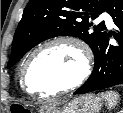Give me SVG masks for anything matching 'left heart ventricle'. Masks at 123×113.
Returning <instances> with one entry per match:
<instances>
[{
    "label": "left heart ventricle",
    "mask_w": 123,
    "mask_h": 113,
    "mask_svg": "<svg viewBox=\"0 0 123 113\" xmlns=\"http://www.w3.org/2000/svg\"><path fill=\"white\" fill-rule=\"evenodd\" d=\"M82 57L70 44H56L36 55L27 75L28 87L36 94H48L58 90L80 74Z\"/></svg>",
    "instance_id": "1"
}]
</instances>
